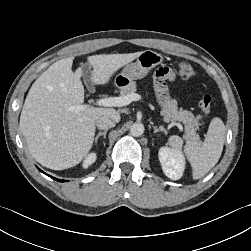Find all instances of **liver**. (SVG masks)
I'll return each mask as SVG.
<instances>
[{"label": "liver", "instance_id": "obj_1", "mask_svg": "<svg viewBox=\"0 0 251 251\" xmlns=\"http://www.w3.org/2000/svg\"><path fill=\"white\" fill-rule=\"evenodd\" d=\"M141 52L92 55L87 58L92 83L105 85L113 74ZM74 57L61 59L43 72L31 86L20 116V129L32 157L42 166L63 170L79 164L91 150L96 119L109 115L119 121L112 108L84 105L80 69L72 71Z\"/></svg>", "mask_w": 251, "mask_h": 251}]
</instances>
